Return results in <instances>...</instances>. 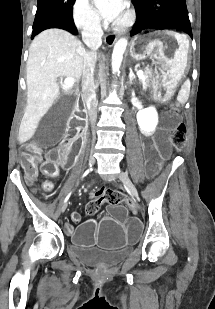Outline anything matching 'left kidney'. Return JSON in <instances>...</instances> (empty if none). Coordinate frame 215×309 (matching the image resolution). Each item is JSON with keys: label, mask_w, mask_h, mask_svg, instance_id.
<instances>
[{"label": "left kidney", "mask_w": 215, "mask_h": 309, "mask_svg": "<svg viewBox=\"0 0 215 309\" xmlns=\"http://www.w3.org/2000/svg\"><path fill=\"white\" fill-rule=\"evenodd\" d=\"M136 118L140 130H142L144 134H148V132H153V130H155L158 124V112L155 106H148V108L138 110Z\"/></svg>", "instance_id": "left-kidney-1"}]
</instances>
